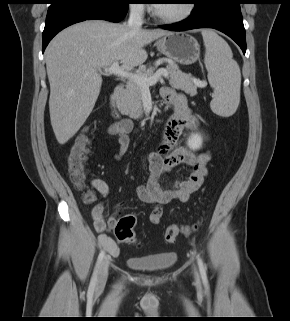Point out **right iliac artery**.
<instances>
[{
	"mask_svg": "<svg viewBox=\"0 0 290 321\" xmlns=\"http://www.w3.org/2000/svg\"><path fill=\"white\" fill-rule=\"evenodd\" d=\"M104 255H105V250L103 249V250H101V252L98 256L97 263H96V266H95V269H94V272H93V275H92V278L90 281L89 290H94V288H95L98 270H99L100 264L104 258Z\"/></svg>",
	"mask_w": 290,
	"mask_h": 321,
	"instance_id": "1",
	"label": "right iliac artery"
}]
</instances>
